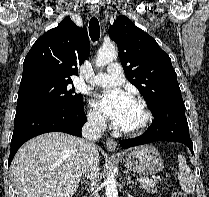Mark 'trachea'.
<instances>
[{"instance_id": "3493384b", "label": "trachea", "mask_w": 209, "mask_h": 197, "mask_svg": "<svg viewBox=\"0 0 209 197\" xmlns=\"http://www.w3.org/2000/svg\"><path fill=\"white\" fill-rule=\"evenodd\" d=\"M89 35L93 42L98 41L100 37V26L96 17H92L89 21Z\"/></svg>"}]
</instances>
